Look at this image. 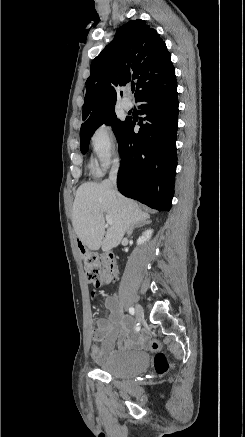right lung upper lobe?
<instances>
[{
	"mask_svg": "<svg viewBox=\"0 0 245 437\" xmlns=\"http://www.w3.org/2000/svg\"><path fill=\"white\" fill-rule=\"evenodd\" d=\"M134 80L135 99L176 83L165 42L141 19L119 27L114 40L93 59L86 81L82 126L114 108L117 95L113 85L134 84Z\"/></svg>",
	"mask_w": 245,
	"mask_h": 437,
	"instance_id": "1",
	"label": "right lung upper lobe"
}]
</instances>
